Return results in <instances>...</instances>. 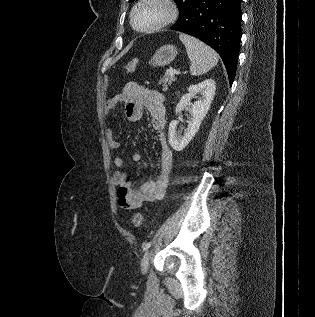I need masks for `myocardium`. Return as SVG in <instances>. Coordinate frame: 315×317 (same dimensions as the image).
I'll return each instance as SVG.
<instances>
[{
	"mask_svg": "<svg viewBox=\"0 0 315 317\" xmlns=\"http://www.w3.org/2000/svg\"><path fill=\"white\" fill-rule=\"evenodd\" d=\"M146 3H158L165 8L166 13H165V16L156 24L149 27H145V28H139L135 24L134 16L137 9ZM177 16H178V7L174 0H138L137 3L132 8V11L130 14V23L132 28L135 31L140 33H149V32L157 31L159 29H162L170 25L172 22L176 20Z\"/></svg>",
	"mask_w": 315,
	"mask_h": 317,
	"instance_id": "myocardium-1",
	"label": "myocardium"
}]
</instances>
